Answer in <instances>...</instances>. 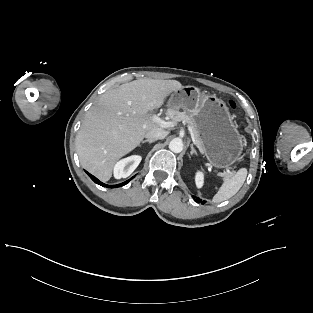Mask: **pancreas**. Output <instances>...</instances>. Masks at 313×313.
I'll list each match as a JSON object with an SVG mask.
<instances>
[{
    "label": "pancreas",
    "mask_w": 313,
    "mask_h": 313,
    "mask_svg": "<svg viewBox=\"0 0 313 313\" xmlns=\"http://www.w3.org/2000/svg\"><path fill=\"white\" fill-rule=\"evenodd\" d=\"M171 118L174 120V121H177V122H180L182 121L184 124H187L188 125V128L193 136V139L195 141V143L198 145V147L203 150L202 148V144H201V141H200V138H199V134H198V131L196 129V123L193 119V117L191 115H189L188 113L186 112H176L174 114H171Z\"/></svg>",
    "instance_id": "cf45deb5"
}]
</instances>
